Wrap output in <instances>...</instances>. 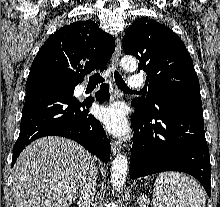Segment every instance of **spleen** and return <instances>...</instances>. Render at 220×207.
Listing matches in <instances>:
<instances>
[{
    "label": "spleen",
    "mask_w": 220,
    "mask_h": 207,
    "mask_svg": "<svg viewBox=\"0 0 220 207\" xmlns=\"http://www.w3.org/2000/svg\"><path fill=\"white\" fill-rule=\"evenodd\" d=\"M155 207H205V193L192 177L179 172L161 173L155 180Z\"/></svg>",
    "instance_id": "obj_1"
}]
</instances>
